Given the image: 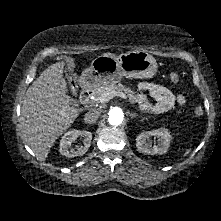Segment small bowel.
Returning <instances> with one entry per match:
<instances>
[{"mask_svg": "<svg viewBox=\"0 0 221 221\" xmlns=\"http://www.w3.org/2000/svg\"><path fill=\"white\" fill-rule=\"evenodd\" d=\"M137 87L140 91L149 92L155 99L156 103L152 107L154 112L163 113L170 110L175 104L179 106H184L186 104L184 95L180 93L174 94L162 85L150 82H140Z\"/></svg>", "mask_w": 221, "mask_h": 221, "instance_id": "small-bowel-1", "label": "small bowel"}]
</instances>
